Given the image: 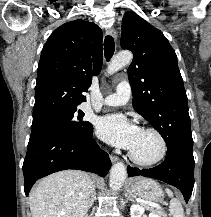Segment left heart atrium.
<instances>
[{
    "label": "left heart atrium",
    "instance_id": "left-heart-atrium-1",
    "mask_svg": "<svg viewBox=\"0 0 211 217\" xmlns=\"http://www.w3.org/2000/svg\"><path fill=\"white\" fill-rule=\"evenodd\" d=\"M141 129L120 114L101 117L97 122V135L104 141L131 150L141 133Z\"/></svg>",
    "mask_w": 211,
    "mask_h": 217
}]
</instances>
